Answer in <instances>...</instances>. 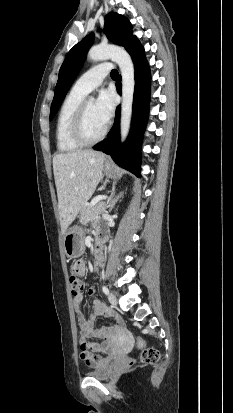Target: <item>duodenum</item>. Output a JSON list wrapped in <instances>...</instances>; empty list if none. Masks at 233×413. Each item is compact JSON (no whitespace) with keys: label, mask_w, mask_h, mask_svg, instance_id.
I'll use <instances>...</instances> for the list:
<instances>
[{"label":"duodenum","mask_w":233,"mask_h":413,"mask_svg":"<svg viewBox=\"0 0 233 413\" xmlns=\"http://www.w3.org/2000/svg\"><path fill=\"white\" fill-rule=\"evenodd\" d=\"M105 242V235L103 233H98L95 238V267L100 268L103 265L104 256H103V243Z\"/></svg>","instance_id":"obj_1"}]
</instances>
